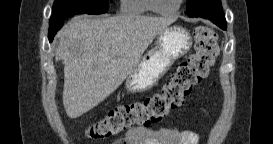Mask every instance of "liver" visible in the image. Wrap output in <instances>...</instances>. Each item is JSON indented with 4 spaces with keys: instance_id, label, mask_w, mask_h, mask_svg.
Wrapping results in <instances>:
<instances>
[{
    "instance_id": "6515ba94",
    "label": "liver",
    "mask_w": 273,
    "mask_h": 144,
    "mask_svg": "<svg viewBox=\"0 0 273 144\" xmlns=\"http://www.w3.org/2000/svg\"><path fill=\"white\" fill-rule=\"evenodd\" d=\"M173 18L76 16L60 31L55 60L64 64L63 105L68 117L87 113L133 71Z\"/></svg>"
}]
</instances>
